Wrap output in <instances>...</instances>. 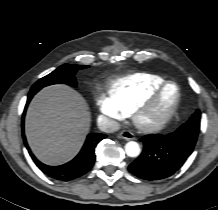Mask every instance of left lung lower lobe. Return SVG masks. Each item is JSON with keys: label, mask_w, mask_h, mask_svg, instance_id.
Masks as SVG:
<instances>
[{"label": "left lung lower lobe", "mask_w": 218, "mask_h": 210, "mask_svg": "<svg viewBox=\"0 0 218 210\" xmlns=\"http://www.w3.org/2000/svg\"><path fill=\"white\" fill-rule=\"evenodd\" d=\"M179 127L175 132L151 134L140 139L142 154L129 165V171L146 180H160L173 175L192 153L196 140L184 135Z\"/></svg>", "instance_id": "1"}]
</instances>
